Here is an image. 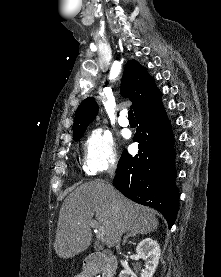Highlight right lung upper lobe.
Masks as SVG:
<instances>
[{
  "label": "right lung upper lobe",
  "mask_w": 221,
  "mask_h": 277,
  "mask_svg": "<svg viewBox=\"0 0 221 277\" xmlns=\"http://www.w3.org/2000/svg\"><path fill=\"white\" fill-rule=\"evenodd\" d=\"M158 93L154 79L148 74L146 68L135 60L128 61L122 77L121 95L133 102L131 108L134 113L136 114ZM96 114L97 104L94 98H86L76 110L73 134L86 130Z\"/></svg>",
  "instance_id": "1"
}]
</instances>
